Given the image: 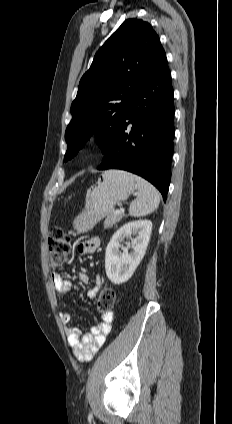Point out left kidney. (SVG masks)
Listing matches in <instances>:
<instances>
[{
  "instance_id": "1",
  "label": "left kidney",
  "mask_w": 232,
  "mask_h": 424,
  "mask_svg": "<svg viewBox=\"0 0 232 424\" xmlns=\"http://www.w3.org/2000/svg\"><path fill=\"white\" fill-rule=\"evenodd\" d=\"M151 231L152 222L145 219L128 222L114 233L105 253L106 275L112 283L119 285L131 278L145 255ZM132 235H136V238L132 239ZM125 238L131 239L127 247L121 245ZM130 247L132 253L128 252Z\"/></svg>"
}]
</instances>
